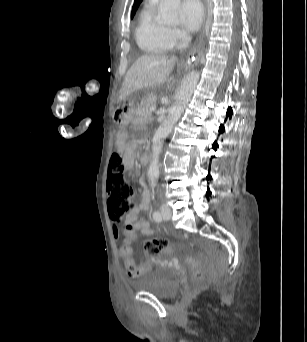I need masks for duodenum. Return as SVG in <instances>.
I'll use <instances>...</instances> for the list:
<instances>
[{"instance_id": "410a0bca", "label": "duodenum", "mask_w": 307, "mask_h": 342, "mask_svg": "<svg viewBox=\"0 0 307 342\" xmlns=\"http://www.w3.org/2000/svg\"><path fill=\"white\" fill-rule=\"evenodd\" d=\"M140 162L142 165H146L149 162V158L148 155L144 154L140 157Z\"/></svg>"}]
</instances>
